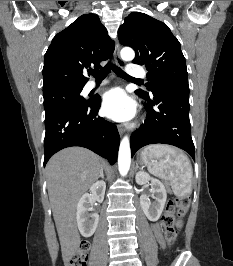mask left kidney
<instances>
[{"mask_svg": "<svg viewBox=\"0 0 233 266\" xmlns=\"http://www.w3.org/2000/svg\"><path fill=\"white\" fill-rule=\"evenodd\" d=\"M135 179L136 183L139 185L147 184L149 181L151 182V196L155 199V202L151 203L149 196L143 194L140 196V205L144 214L150 221H157L161 216L167 199L165 185L158 179L150 177L149 174L144 171L138 172Z\"/></svg>", "mask_w": 233, "mask_h": 266, "instance_id": "obj_1", "label": "left kidney"}]
</instances>
